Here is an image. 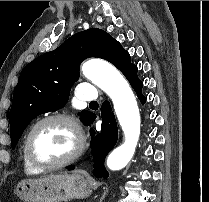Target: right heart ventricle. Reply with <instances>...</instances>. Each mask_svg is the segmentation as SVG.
Wrapping results in <instances>:
<instances>
[{
  "mask_svg": "<svg viewBox=\"0 0 209 202\" xmlns=\"http://www.w3.org/2000/svg\"><path fill=\"white\" fill-rule=\"evenodd\" d=\"M22 162H23L24 171L26 173H29V174L33 173V174H35V173L39 172V170L35 169L33 166L30 165V163L27 161L23 151H22Z\"/></svg>",
  "mask_w": 209,
  "mask_h": 202,
  "instance_id": "1",
  "label": "right heart ventricle"
}]
</instances>
